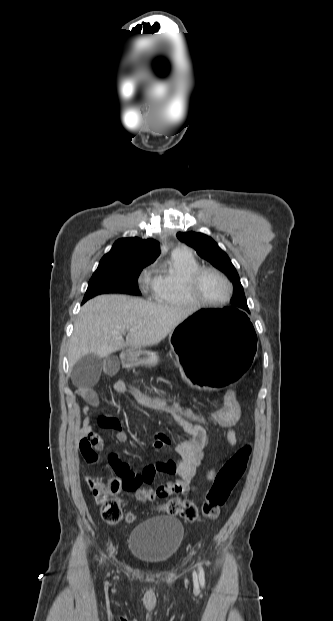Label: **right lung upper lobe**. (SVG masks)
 <instances>
[{
  "mask_svg": "<svg viewBox=\"0 0 333 621\" xmlns=\"http://www.w3.org/2000/svg\"><path fill=\"white\" fill-rule=\"evenodd\" d=\"M159 254V242L154 239L121 238L114 243L110 252L103 256L100 263L135 262L149 265Z\"/></svg>",
  "mask_w": 333,
  "mask_h": 621,
  "instance_id": "obj_1",
  "label": "right lung upper lobe"
}]
</instances>
